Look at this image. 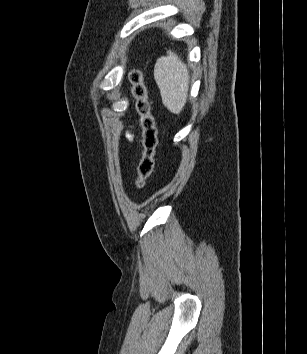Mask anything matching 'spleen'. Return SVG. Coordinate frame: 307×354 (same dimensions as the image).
Here are the masks:
<instances>
[{
	"instance_id": "obj_1",
	"label": "spleen",
	"mask_w": 307,
	"mask_h": 354,
	"mask_svg": "<svg viewBox=\"0 0 307 354\" xmlns=\"http://www.w3.org/2000/svg\"><path fill=\"white\" fill-rule=\"evenodd\" d=\"M189 78L186 65L171 50L167 52V56L156 61L154 79L160 89L164 106L174 114H179L185 106Z\"/></svg>"
}]
</instances>
